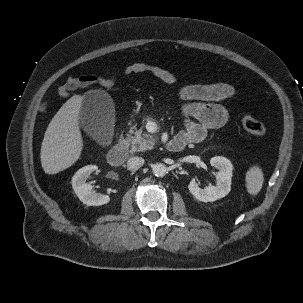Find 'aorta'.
Returning a JSON list of instances; mask_svg holds the SVG:
<instances>
[{"mask_svg":"<svg viewBox=\"0 0 303 303\" xmlns=\"http://www.w3.org/2000/svg\"><path fill=\"white\" fill-rule=\"evenodd\" d=\"M153 174L157 177H163L167 174V167L163 163H156L152 167Z\"/></svg>","mask_w":303,"mask_h":303,"instance_id":"obj_1","label":"aorta"}]
</instances>
